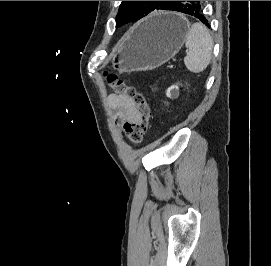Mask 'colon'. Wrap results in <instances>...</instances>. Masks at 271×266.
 Segmentation results:
<instances>
[{
    "mask_svg": "<svg viewBox=\"0 0 271 266\" xmlns=\"http://www.w3.org/2000/svg\"><path fill=\"white\" fill-rule=\"evenodd\" d=\"M105 78L109 86L118 94L128 97L134 104L137 118L124 124V133L132 144H139L144 139L150 120V106L145 96L134 87L126 86L115 74L106 73Z\"/></svg>",
    "mask_w": 271,
    "mask_h": 266,
    "instance_id": "5ec220e1",
    "label": "colon"
}]
</instances>
